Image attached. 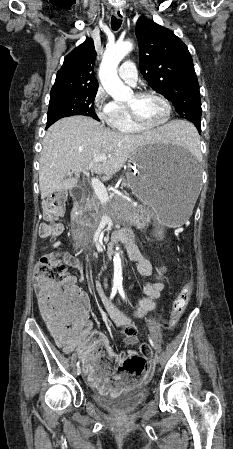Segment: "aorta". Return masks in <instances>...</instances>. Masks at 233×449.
Instances as JSON below:
<instances>
[{
  "label": "aorta",
  "instance_id": "762f6f07",
  "mask_svg": "<svg viewBox=\"0 0 233 449\" xmlns=\"http://www.w3.org/2000/svg\"><path fill=\"white\" fill-rule=\"evenodd\" d=\"M133 49L130 41L118 42L106 49L100 68L99 79L106 92L115 100H124L131 94V89L126 86L117 74V67L121 60ZM114 278L122 276L121 256L119 248L113 258Z\"/></svg>",
  "mask_w": 233,
  "mask_h": 449
}]
</instances>
